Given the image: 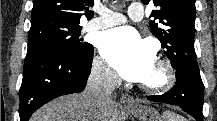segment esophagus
<instances>
[{
	"label": "esophagus",
	"mask_w": 217,
	"mask_h": 121,
	"mask_svg": "<svg viewBox=\"0 0 217 121\" xmlns=\"http://www.w3.org/2000/svg\"><path fill=\"white\" fill-rule=\"evenodd\" d=\"M121 102L126 106H135L136 105L134 98L127 93H122Z\"/></svg>",
	"instance_id": "1"
}]
</instances>
